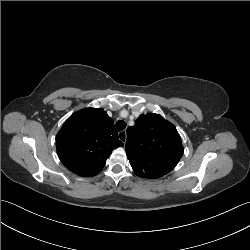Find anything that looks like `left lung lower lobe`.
<instances>
[{
	"label": "left lung lower lobe",
	"mask_w": 250,
	"mask_h": 250,
	"mask_svg": "<svg viewBox=\"0 0 250 250\" xmlns=\"http://www.w3.org/2000/svg\"><path fill=\"white\" fill-rule=\"evenodd\" d=\"M152 163H153L152 161H148L147 165H145L146 169L143 171V174H144L143 178H153V179H155V178L161 177L159 172L149 169V166H151Z\"/></svg>",
	"instance_id": "obj_1"
}]
</instances>
